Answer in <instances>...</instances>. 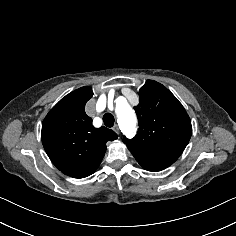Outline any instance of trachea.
<instances>
[{
    "label": "trachea",
    "instance_id": "3493384b",
    "mask_svg": "<svg viewBox=\"0 0 236 236\" xmlns=\"http://www.w3.org/2000/svg\"><path fill=\"white\" fill-rule=\"evenodd\" d=\"M114 116L111 113H105L103 116V122L105 126L112 127L114 125Z\"/></svg>",
    "mask_w": 236,
    "mask_h": 236
}]
</instances>
